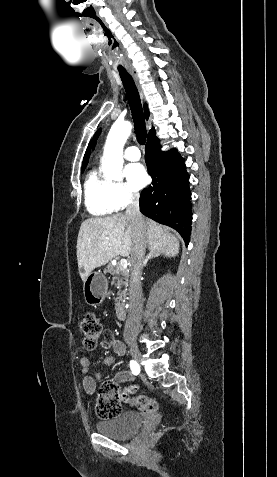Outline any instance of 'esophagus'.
I'll return each instance as SVG.
<instances>
[{"label": "esophagus", "instance_id": "obj_1", "mask_svg": "<svg viewBox=\"0 0 277 477\" xmlns=\"http://www.w3.org/2000/svg\"><path fill=\"white\" fill-rule=\"evenodd\" d=\"M130 73H131V75H132V77H133V80H134L135 85H136V87H137V89H138V92H139V94H140V97H141V99L143 100V99H144V94H143V89H142V86H141V83H140L138 74H137V72H135V71H130Z\"/></svg>", "mask_w": 277, "mask_h": 477}]
</instances>
